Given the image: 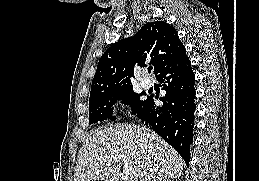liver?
I'll use <instances>...</instances> for the list:
<instances>
[{
  "label": "liver",
  "instance_id": "liver-1",
  "mask_svg": "<svg viewBox=\"0 0 259 181\" xmlns=\"http://www.w3.org/2000/svg\"><path fill=\"white\" fill-rule=\"evenodd\" d=\"M122 162L132 168L131 181L178 178L184 165L179 154L154 131L117 124L95 130L84 141L74 181H118Z\"/></svg>",
  "mask_w": 259,
  "mask_h": 181
}]
</instances>
